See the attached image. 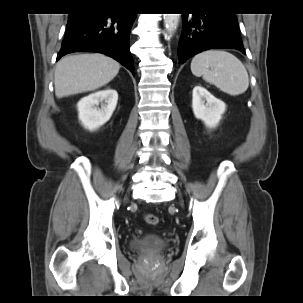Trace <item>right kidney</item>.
Instances as JSON below:
<instances>
[{
	"instance_id": "1",
	"label": "right kidney",
	"mask_w": 303,
	"mask_h": 303,
	"mask_svg": "<svg viewBox=\"0 0 303 303\" xmlns=\"http://www.w3.org/2000/svg\"><path fill=\"white\" fill-rule=\"evenodd\" d=\"M118 93L105 89L83 97L77 103L78 117L84 128L94 131L108 122L116 108ZM101 103V108L99 104Z\"/></svg>"
}]
</instances>
